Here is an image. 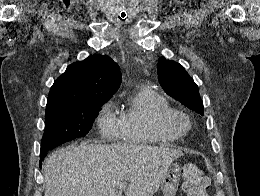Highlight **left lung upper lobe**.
Here are the masks:
<instances>
[{
  "instance_id": "left-lung-upper-lobe-1",
  "label": "left lung upper lobe",
  "mask_w": 260,
  "mask_h": 196,
  "mask_svg": "<svg viewBox=\"0 0 260 196\" xmlns=\"http://www.w3.org/2000/svg\"><path fill=\"white\" fill-rule=\"evenodd\" d=\"M158 78L165 92L188 108L203 115V102L198 87L185 69L174 61L161 57L157 65Z\"/></svg>"
}]
</instances>
